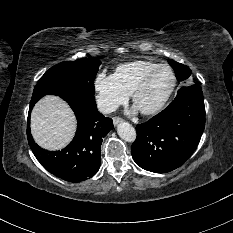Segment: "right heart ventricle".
I'll list each match as a JSON object with an SVG mask.
<instances>
[{
	"label": "right heart ventricle",
	"mask_w": 233,
	"mask_h": 233,
	"mask_svg": "<svg viewBox=\"0 0 233 233\" xmlns=\"http://www.w3.org/2000/svg\"><path fill=\"white\" fill-rule=\"evenodd\" d=\"M158 65V63L152 61L135 60L118 65L113 75L118 84L128 94H131L142 77Z\"/></svg>",
	"instance_id": "1"
}]
</instances>
